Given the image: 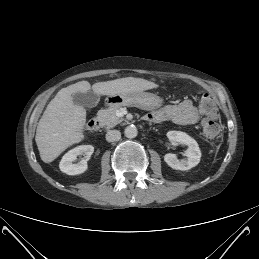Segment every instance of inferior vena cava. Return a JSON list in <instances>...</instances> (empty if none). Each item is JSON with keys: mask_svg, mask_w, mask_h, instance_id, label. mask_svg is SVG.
Returning <instances> with one entry per match:
<instances>
[{"mask_svg": "<svg viewBox=\"0 0 259 259\" xmlns=\"http://www.w3.org/2000/svg\"><path fill=\"white\" fill-rule=\"evenodd\" d=\"M121 137V133L120 131L118 130H109L107 133H106V140L108 142H114V141H117L119 140Z\"/></svg>", "mask_w": 259, "mask_h": 259, "instance_id": "1", "label": "inferior vena cava"}]
</instances>
